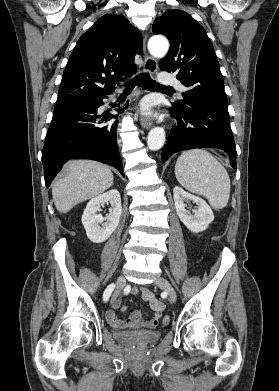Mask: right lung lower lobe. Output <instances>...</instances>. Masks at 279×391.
Instances as JSON below:
<instances>
[{
	"instance_id": "obj_1",
	"label": "right lung lower lobe",
	"mask_w": 279,
	"mask_h": 391,
	"mask_svg": "<svg viewBox=\"0 0 279 391\" xmlns=\"http://www.w3.org/2000/svg\"><path fill=\"white\" fill-rule=\"evenodd\" d=\"M104 98L54 108L42 151L46 186L70 158L97 160L116 167L124 176L116 140L118 121H112L118 115L97 112Z\"/></svg>"
}]
</instances>
